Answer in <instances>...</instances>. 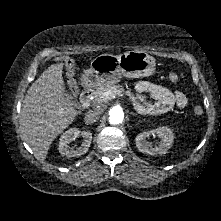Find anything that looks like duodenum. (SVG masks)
Masks as SVG:
<instances>
[{"mask_svg":"<svg viewBox=\"0 0 221 221\" xmlns=\"http://www.w3.org/2000/svg\"><path fill=\"white\" fill-rule=\"evenodd\" d=\"M93 89L85 87L80 94V103L83 109H88L92 102Z\"/></svg>","mask_w":221,"mask_h":221,"instance_id":"duodenum-1","label":"duodenum"}]
</instances>
